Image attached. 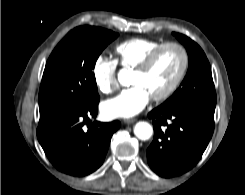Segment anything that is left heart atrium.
<instances>
[{
  "mask_svg": "<svg viewBox=\"0 0 245 195\" xmlns=\"http://www.w3.org/2000/svg\"><path fill=\"white\" fill-rule=\"evenodd\" d=\"M151 96L141 85L123 90L117 97L102 104V112L109 118H129L140 113L148 104Z\"/></svg>",
  "mask_w": 245,
  "mask_h": 195,
  "instance_id": "left-heart-atrium-1",
  "label": "left heart atrium"
}]
</instances>
